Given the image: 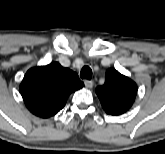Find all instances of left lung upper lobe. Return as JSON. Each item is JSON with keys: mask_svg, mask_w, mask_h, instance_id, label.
Returning <instances> with one entry per match:
<instances>
[{"mask_svg": "<svg viewBox=\"0 0 165 154\" xmlns=\"http://www.w3.org/2000/svg\"><path fill=\"white\" fill-rule=\"evenodd\" d=\"M96 94L107 114L120 115L132 106L137 85L116 69L110 68L106 72L104 85L96 88Z\"/></svg>", "mask_w": 165, "mask_h": 154, "instance_id": "left-lung-upper-lobe-1", "label": "left lung upper lobe"}]
</instances>
